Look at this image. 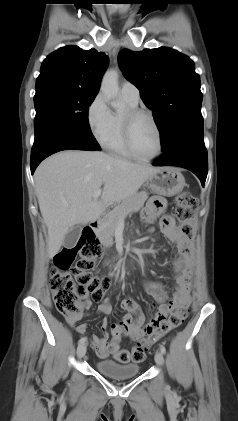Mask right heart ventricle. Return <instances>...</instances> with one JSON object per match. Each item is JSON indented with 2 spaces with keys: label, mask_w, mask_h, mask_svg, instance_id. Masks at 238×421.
<instances>
[{
  "label": "right heart ventricle",
  "mask_w": 238,
  "mask_h": 421,
  "mask_svg": "<svg viewBox=\"0 0 238 421\" xmlns=\"http://www.w3.org/2000/svg\"><path fill=\"white\" fill-rule=\"evenodd\" d=\"M129 108H136L137 104H133L128 100L124 99ZM104 148L109 152L116 154L118 156L132 159L134 158L128 151L124 138H123V129H122V115L118 113L112 114V128L109 136L102 143Z\"/></svg>",
  "instance_id": "e07e8e85"
}]
</instances>
